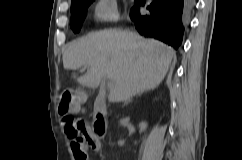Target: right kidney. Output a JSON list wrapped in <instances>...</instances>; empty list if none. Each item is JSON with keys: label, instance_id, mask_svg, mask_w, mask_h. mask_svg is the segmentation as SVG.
<instances>
[{"label": "right kidney", "instance_id": "ca27d5eb", "mask_svg": "<svg viewBox=\"0 0 242 160\" xmlns=\"http://www.w3.org/2000/svg\"><path fill=\"white\" fill-rule=\"evenodd\" d=\"M139 127H140V130H141V131H144V130L146 129V127H147V124H146L145 122H141V123L139 124Z\"/></svg>", "mask_w": 242, "mask_h": 160}]
</instances>
